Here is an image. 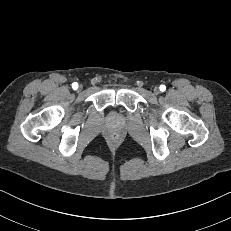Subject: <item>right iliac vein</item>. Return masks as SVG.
<instances>
[{
	"label": "right iliac vein",
	"mask_w": 231,
	"mask_h": 231,
	"mask_svg": "<svg viewBox=\"0 0 231 231\" xmlns=\"http://www.w3.org/2000/svg\"><path fill=\"white\" fill-rule=\"evenodd\" d=\"M78 89H79V90H82V85H80Z\"/></svg>",
	"instance_id": "obj_1"
}]
</instances>
